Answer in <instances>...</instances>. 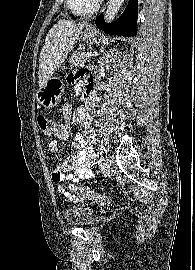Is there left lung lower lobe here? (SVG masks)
Wrapping results in <instances>:
<instances>
[{
    "label": "left lung lower lobe",
    "mask_w": 195,
    "mask_h": 270,
    "mask_svg": "<svg viewBox=\"0 0 195 270\" xmlns=\"http://www.w3.org/2000/svg\"><path fill=\"white\" fill-rule=\"evenodd\" d=\"M138 0H129L123 14L112 24L104 22L103 14L96 18V26L102 31L122 36H136L137 34Z\"/></svg>",
    "instance_id": "obj_1"
}]
</instances>
